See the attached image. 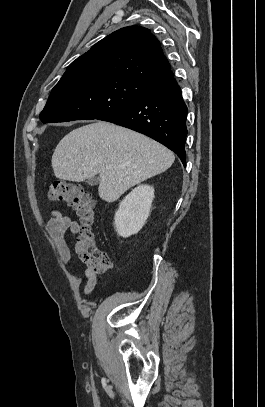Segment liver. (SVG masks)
Segmentation results:
<instances>
[{
  "label": "liver",
  "mask_w": 265,
  "mask_h": 407,
  "mask_svg": "<svg viewBox=\"0 0 265 407\" xmlns=\"http://www.w3.org/2000/svg\"><path fill=\"white\" fill-rule=\"evenodd\" d=\"M174 160L172 151L155 140L98 121L65 135L51 162L55 177L61 180L82 182L99 174L100 198L114 202L134 185L165 172Z\"/></svg>",
  "instance_id": "liver-1"
}]
</instances>
